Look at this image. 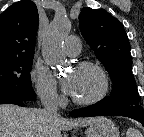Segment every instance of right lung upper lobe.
<instances>
[{"label": "right lung upper lobe", "mask_w": 144, "mask_h": 137, "mask_svg": "<svg viewBox=\"0 0 144 137\" xmlns=\"http://www.w3.org/2000/svg\"><path fill=\"white\" fill-rule=\"evenodd\" d=\"M38 24V10L30 0L19 1L0 15V63L34 56Z\"/></svg>", "instance_id": "right-lung-upper-lobe-1"}]
</instances>
